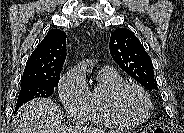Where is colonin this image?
Returning <instances> with one entry per match:
<instances>
[{
    "label": "colon",
    "instance_id": "1",
    "mask_svg": "<svg viewBox=\"0 0 184 133\" xmlns=\"http://www.w3.org/2000/svg\"><path fill=\"white\" fill-rule=\"evenodd\" d=\"M155 133H163V130L161 128L156 129Z\"/></svg>",
    "mask_w": 184,
    "mask_h": 133
}]
</instances>
